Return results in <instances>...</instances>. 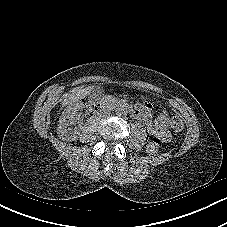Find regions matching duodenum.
Segmentation results:
<instances>
[{
	"label": "duodenum",
	"instance_id": "duodenum-1",
	"mask_svg": "<svg viewBox=\"0 0 227 227\" xmlns=\"http://www.w3.org/2000/svg\"><path fill=\"white\" fill-rule=\"evenodd\" d=\"M102 107V102L99 100V99H93L90 103V109L93 111V112H97L100 108ZM131 115L134 117V118H137L138 117V111L135 110V109H132L130 111Z\"/></svg>",
	"mask_w": 227,
	"mask_h": 227
}]
</instances>
